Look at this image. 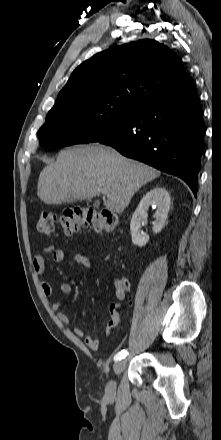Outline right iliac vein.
<instances>
[{"label":"right iliac vein","mask_w":221,"mask_h":440,"mask_svg":"<svg viewBox=\"0 0 221 440\" xmlns=\"http://www.w3.org/2000/svg\"><path fill=\"white\" fill-rule=\"evenodd\" d=\"M125 366H126L125 360L116 362L113 366L114 373L116 375L120 374L125 369ZM115 394H116V382L114 380H111L106 385L105 395L107 398L112 399L115 397Z\"/></svg>","instance_id":"right-iliac-vein-1"}]
</instances>
